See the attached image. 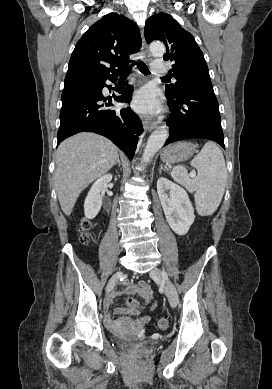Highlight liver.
I'll return each mask as SVG.
<instances>
[{"label": "liver", "instance_id": "6515ba94", "mask_svg": "<svg viewBox=\"0 0 272 389\" xmlns=\"http://www.w3.org/2000/svg\"><path fill=\"white\" fill-rule=\"evenodd\" d=\"M117 147L94 133H79L63 141L56 152L55 189L62 211L70 216L80 193L116 163Z\"/></svg>", "mask_w": 272, "mask_h": 389}]
</instances>
